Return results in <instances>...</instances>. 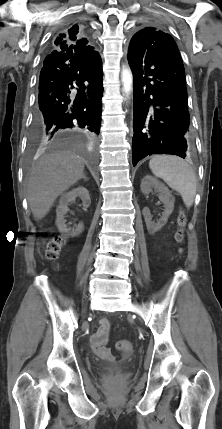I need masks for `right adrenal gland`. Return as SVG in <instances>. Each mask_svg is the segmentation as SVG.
Returning a JSON list of instances; mask_svg holds the SVG:
<instances>
[{
    "mask_svg": "<svg viewBox=\"0 0 222 429\" xmlns=\"http://www.w3.org/2000/svg\"><path fill=\"white\" fill-rule=\"evenodd\" d=\"M82 178H83L84 181H88L89 180L85 175Z\"/></svg>",
    "mask_w": 222,
    "mask_h": 429,
    "instance_id": "1",
    "label": "right adrenal gland"
}]
</instances>
